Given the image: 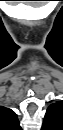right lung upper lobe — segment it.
<instances>
[{
	"label": "right lung upper lobe",
	"instance_id": "1",
	"mask_svg": "<svg viewBox=\"0 0 63 130\" xmlns=\"http://www.w3.org/2000/svg\"><path fill=\"white\" fill-rule=\"evenodd\" d=\"M0 128L1 130H21L14 111L6 107H0Z\"/></svg>",
	"mask_w": 63,
	"mask_h": 130
}]
</instances>
